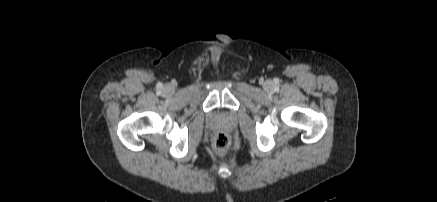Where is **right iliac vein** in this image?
<instances>
[{
  "mask_svg": "<svg viewBox=\"0 0 437 202\" xmlns=\"http://www.w3.org/2000/svg\"><path fill=\"white\" fill-rule=\"evenodd\" d=\"M173 91V88L172 87H166V92L167 93H171Z\"/></svg>",
  "mask_w": 437,
  "mask_h": 202,
  "instance_id": "63e3f726",
  "label": "right iliac vein"
}]
</instances>
